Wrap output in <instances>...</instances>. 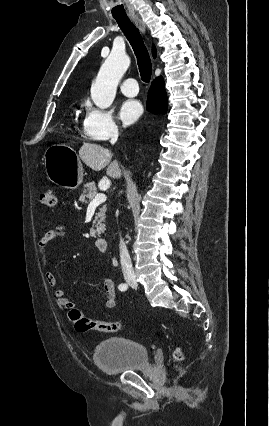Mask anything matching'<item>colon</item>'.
Masks as SVG:
<instances>
[{"instance_id":"colon-1","label":"colon","mask_w":269,"mask_h":426,"mask_svg":"<svg viewBox=\"0 0 269 426\" xmlns=\"http://www.w3.org/2000/svg\"><path fill=\"white\" fill-rule=\"evenodd\" d=\"M41 202L47 207L54 208L57 206V195L55 190L47 189L41 194ZM69 318L73 322L78 332L98 331L106 333H117L122 331L123 326L119 322L99 321L85 317L79 309L72 308L69 312ZM176 360L182 359L180 350L174 352Z\"/></svg>"}]
</instances>
